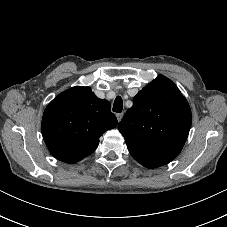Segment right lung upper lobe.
Wrapping results in <instances>:
<instances>
[{"instance_id": "cb5924a9", "label": "right lung upper lobe", "mask_w": 227, "mask_h": 227, "mask_svg": "<svg viewBox=\"0 0 227 227\" xmlns=\"http://www.w3.org/2000/svg\"><path fill=\"white\" fill-rule=\"evenodd\" d=\"M117 126L107 100L89 87H73L54 98L42 118V135L50 153L58 160L75 163L92 154L99 137Z\"/></svg>"}]
</instances>
